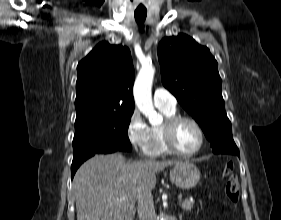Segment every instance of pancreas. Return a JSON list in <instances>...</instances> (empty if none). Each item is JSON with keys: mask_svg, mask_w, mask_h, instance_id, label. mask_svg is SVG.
Segmentation results:
<instances>
[{"mask_svg": "<svg viewBox=\"0 0 281 220\" xmlns=\"http://www.w3.org/2000/svg\"><path fill=\"white\" fill-rule=\"evenodd\" d=\"M193 202L189 201L188 199H185L183 202L180 203L181 208L184 211H191L192 207H193Z\"/></svg>", "mask_w": 281, "mask_h": 220, "instance_id": "cf45deb5", "label": "pancreas"}]
</instances>
